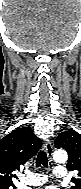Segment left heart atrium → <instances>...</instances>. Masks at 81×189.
Returning a JSON list of instances; mask_svg holds the SVG:
<instances>
[{"instance_id": "left-heart-atrium-1", "label": "left heart atrium", "mask_w": 81, "mask_h": 189, "mask_svg": "<svg viewBox=\"0 0 81 189\" xmlns=\"http://www.w3.org/2000/svg\"><path fill=\"white\" fill-rule=\"evenodd\" d=\"M45 189H58V188H56V187H54V186H48V187H46Z\"/></svg>"}]
</instances>
